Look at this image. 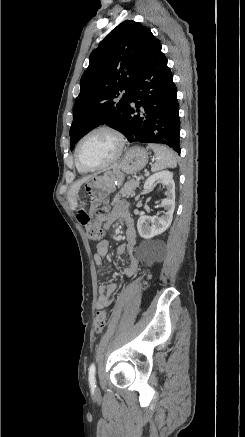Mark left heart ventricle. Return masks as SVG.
<instances>
[{
	"label": "left heart ventricle",
	"instance_id": "b2bd125f",
	"mask_svg": "<svg viewBox=\"0 0 245 437\" xmlns=\"http://www.w3.org/2000/svg\"><path fill=\"white\" fill-rule=\"evenodd\" d=\"M117 150L116 138L108 132H97L87 137L80 147L81 160L89 165L105 163Z\"/></svg>",
	"mask_w": 245,
	"mask_h": 437
}]
</instances>
